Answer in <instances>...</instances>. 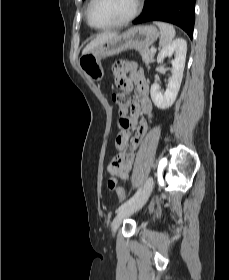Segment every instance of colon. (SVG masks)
<instances>
[{
  "label": "colon",
  "instance_id": "5ec220e1",
  "mask_svg": "<svg viewBox=\"0 0 229 280\" xmlns=\"http://www.w3.org/2000/svg\"><path fill=\"white\" fill-rule=\"evenodd\" d=\"M118 98H119V101L124 105H127L130 102L128 96H126V95H120ZM117 122H118V126L122 130H126L130 126L129 118L126 115H123V114L119 115ZM127 169H128V165L125 164L122 154L117 153V154L113 155L111 163L109 165V170L126 171ZM108 187L110 189H114L116 187L115 182L110 180L108 182ZM117 194H118V197L121 201H124L126 199V192L124 191L123 188L118 187L117 188Z\"/></svg>",
  "mask_w": 229,
  "mask_h": 280
}]
</instances>
